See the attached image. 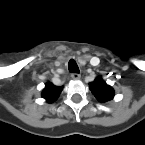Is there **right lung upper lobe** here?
Segmentation results:
<instances>
[{
	"mask_svg": "<svg viewBox=\"0 0 145 145\" xmlns=\"http://www.w3.org/2000/svg\"><path fill=\"white\" fill-rule=\"evenodd\" d=\"M61 91H62V86L59 87L53 85L52 83H47L45 85L42 95L43 98H45L48 102L51 103L57 99Z\"/></svg>",
	"mask_w": 145,
	"mask_h": 145,
	"instance_id": "1",
	"label": "right lung upper lobe"
}]
</instances>
